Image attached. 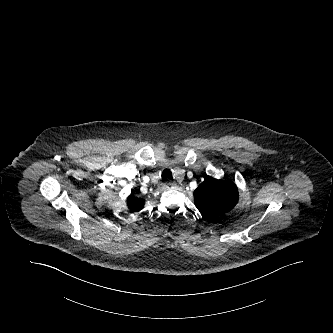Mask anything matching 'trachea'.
<instances>
[{"instance_id":"3493384b","label":"trachea","mask_w":333,"mask_h":333,"mask_svg":"<svg viewBox=\"0 0 333 333\" xmlns=\"http://www.w3.org/2000/svg\"><path fill=\"white\" fill-rule=\"evenodd\" d=\"M162 180L163 181H169V180H172L173 179V176H172V172L170 171V169H165L163 172H162Z\"/></svg>"}]
</instances>
